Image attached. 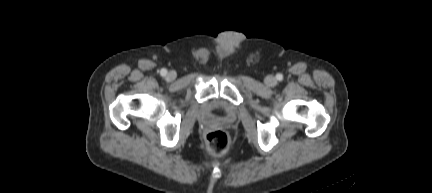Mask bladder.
<instances>
[{
	"label": "bladder",
	"instance_id": "1",
	"mask_svg": "<svg viewBox=\"0 0 432 193\" xmlns=\"http://www.w3.org/2000/svg\"><path fill=\"white\" fill-rule=\"evenodd\" d=\"M209 110H222L223 101L221 99H214L208 103Z\"/></svg>",
	"mask_w": 432,
	"mask_h": 193
}]
</instances>
